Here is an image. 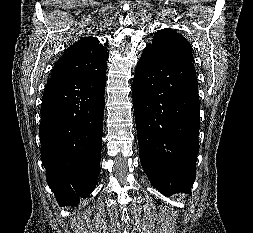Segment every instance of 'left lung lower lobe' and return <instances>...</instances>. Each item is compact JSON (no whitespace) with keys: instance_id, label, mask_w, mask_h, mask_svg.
<instances>
[{"instance_id":"1","label":"left lung lower lobe","mask_w":253,"mask_h":233,"mask_svg":"<svg viewBox=\"0 0 253 233\" xmlns=\"http://www.w3.org/2000/svg\"><path fill=\"white\" fill-rule=\"evenodd\" d=\"M141 165L163 195L189 193L199 152L200 103L193 62L147 45L133 80Z\"/></svg>"}]
</instances>
